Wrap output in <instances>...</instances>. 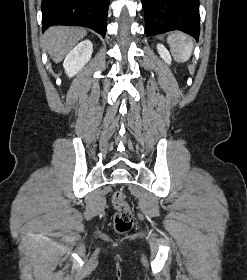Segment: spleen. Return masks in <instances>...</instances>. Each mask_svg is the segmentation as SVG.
I'll use <instances>...</instances> for the list:
<instances>
[{
	"label": "spleen",
	"mask_w": 247,
	"mask_h": 280,
	"mask_svg": "<svg viewBox=\"0 0 247 280\" xmlns=\"http://www.w3.org/2000/svg\"><path fill=\"white\" fill-rule=\"evenodd\" d=\"M167 41L177 61L186 62L189 60L193 50V40L189 35L175 32L168 36Z\"/></svg>",
	"instance_id": "spleen-1"
}]
</instances>
